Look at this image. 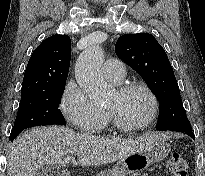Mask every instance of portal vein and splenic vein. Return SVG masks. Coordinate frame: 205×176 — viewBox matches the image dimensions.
<instances>
[{
  "instance_id": "obj_1",
  "label": "portal vein and splenic vein",
  "mask_w": 205,
  "mask_h": 176,
  "mask_svg": "<svg viewBox=\"0 0 205 176\" xmlns=\"http://www.w3.org/2000/svg\"><path fill=\"white\" fill-rule=\"evenodd\" d=\"M71 160H72V157L71 156H67L65 158V163H69Z\"/></svg>"
}]
</instances>
